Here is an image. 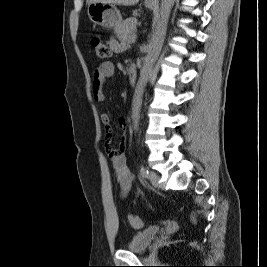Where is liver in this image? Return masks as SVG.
<instances>
[{"instance_id":"1","label":"liver","mask_w":267,"mask_h":267,"mask_svg":"<svg viewBox=\"0 0 267 267\" xmlns=\"http://www.w3.org/2000/svg\"><path fill=\"white\" fill-rule=\"evenodd\" d=\"M94 2H101V3H107V4H116V5H123V6H133L136 5L139 0H88V3H94Z\"/></svg>"}]
</instances>
